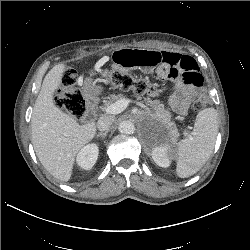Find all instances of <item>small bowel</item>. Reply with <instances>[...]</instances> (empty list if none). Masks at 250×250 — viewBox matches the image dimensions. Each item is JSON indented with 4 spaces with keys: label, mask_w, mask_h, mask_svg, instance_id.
I'll return each mask as SVG.
<instances>
[{
    "label": "small bowel",
    "mask_w": 250,
    "mask_h": 250,
    "mask_svg": "<svg viewBox=\"0 0 250 250\" xmlns=\"http://www.w3.org/2000/svg\"><path fill=\"white\" fill-rule=\"evenodd\" d=\"M112 60L118 68L155 72L160 79L172 81L176 91L169 103L181 115L187 114L196 91L203 84L196 61L187 55L158 50L118 49L112 54Z\"/></svg>",
    "instance_id": "1"
}]
</instances>
